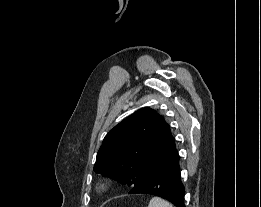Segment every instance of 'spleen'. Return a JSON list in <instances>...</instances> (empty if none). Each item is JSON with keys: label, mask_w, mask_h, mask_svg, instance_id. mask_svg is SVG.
<instances>
[{"label": "spleen", "mask_w": 261, "mask_h": 207, "mask_svg": "<svg viewBox=\"0 0 261 207\" xmlns=\"http://www.w3.org/2000/svg\"><path fill=\"white\" fill-rule=\"evenodd\" d=\"M148 207H173L168 201L159 197H154L150 200Z\"/></svg>", "instance_id": "1"}]
</instances>
